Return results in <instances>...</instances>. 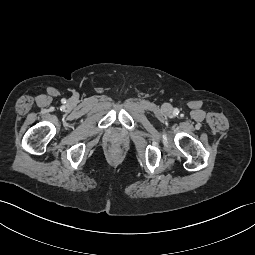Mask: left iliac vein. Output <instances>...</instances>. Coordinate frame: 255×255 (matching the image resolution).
<instances>
[{
	"mask_svg": "<svg viewBox=\"0 0 255 255\" xmlns=\"http://www.w3.org/2000/svg\"><path fill=\"white\" fill-rule=\"evenodd\" d=\"M163 109H164V111H165L166 113H169V112L172 111V107H171V105H169V104H165V105L163 106Z\"/></svg>",
	"mask_w": 255,
	"mask_h": 255,
	"instance_id": "1",
	"label": "left iliac vein"
}]
</instances>
